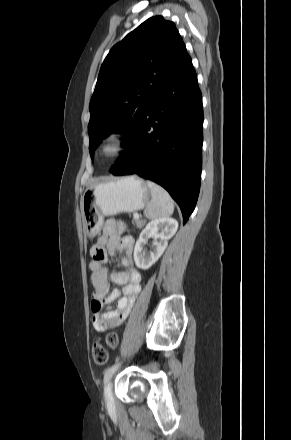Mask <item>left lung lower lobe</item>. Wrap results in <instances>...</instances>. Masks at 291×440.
Masks as SVG:
<instances>
[{
    "mask_svg": "<svg viewBox=\"0 0 291 440\" xmlns=\"http://www.w3.org/2000/svg\"><path fill=\"white\" fill-rule=\"evenodd\" d=\"M202 131V95L187 53L151 98L110 172L137 174L163 186L180 206L185 224L200 190Z\"/></svg>",
    "mask_w": 291,
    "mask_h": 440,
    "instance_id": "obj_1",
    "label": "left lung lower lobe"
}]
</instances>
